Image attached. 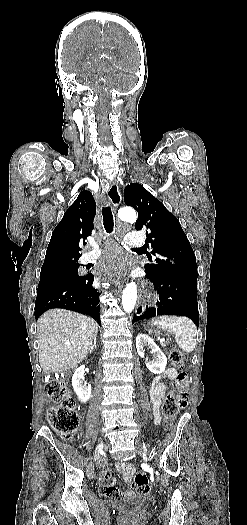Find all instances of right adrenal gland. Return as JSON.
<instances>
[{"instance_id":"right-adrenal-gland-1","label":"right adrenal gland","mask_w":247,"mask_h":525,"mask_svg":"<svg viewBox=\"0 0 247 525\" xmlns=\"http://www.w3.org/2000/svg\"><path fill=\"white\" fill-rule=\"evenodd\" d=\"M93 349H96V337H94V339H93V345H92L89 353H92Z\"/></svg>"}]
</instances>
